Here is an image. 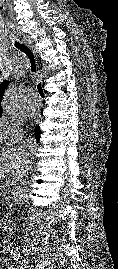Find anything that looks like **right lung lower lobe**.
<instances>
[{"label":"right lung lower lobe","instance_id":"98d812e1","mask_svg":"<svg viewBox=\"0 0 118 269\" xmlns=\"http://www.w3.org/2000/svg\"><path fill=\"white\" fill-rule=\"evenodd\" d=\"M40 133H41V132H40L39 127H36V128H35V137H36L37 141H39Z\"/></svg>","mask_w":118,"mask_h":269}]
</instances>
